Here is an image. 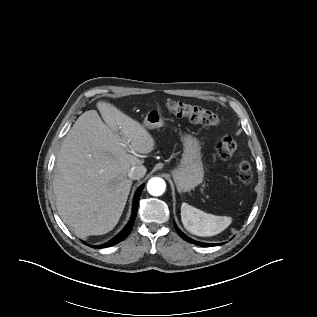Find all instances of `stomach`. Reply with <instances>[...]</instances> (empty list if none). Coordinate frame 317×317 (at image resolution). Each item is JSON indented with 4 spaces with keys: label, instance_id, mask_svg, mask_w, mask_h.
I'll list each match as a JSON object with an SVG mask.
<instances>
[{
    "label": "stomach",
    "instance_id": "0dacf381",
    "mask_svg": "<svg viewBox=\"0 0 317 317\" xmlns=\"http://www.w3.org/2000/svg\"><path fill=\"white\" fill-rule=\"evenodd\" d=\"M143 124L150 130L160 128L164 124V117L159 109L154 108L148 111ZM181 140L184 146L182 159L171 174L178 192H189L203 181L201 145L199 140L189 133L181 134Z\"/></svg>",
    "mask_w": 317,
    "mask_h": 317
}]
</instances>
